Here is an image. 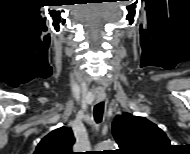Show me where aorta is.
Segmentation results:
<instances>
[{"mask_svg":"<svg viewBox=\"0 0 190 154\" xmlns=\"http://www.w3.org/2000/svg\"><path fill=\"white\" fill-rule=\"evenodd\" d=\"M99 149L103 150H114L116 148V143L112 140H107L102 142L99 146Z\"/></svg>","mask_w":190,"mask_h":154,"instance_id":"1","label":"aorta"}]
</instances>
